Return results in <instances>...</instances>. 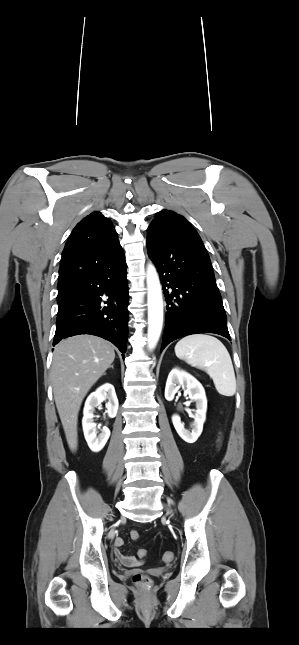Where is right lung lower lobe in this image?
<instances>
[{"mask_svg":"<svg viewBox=\"0 0 299 645\" xmlns=\"http://www.w3.org/2000/svg\"><path fill=\"white\" fill-rule=\"evenodd\" d=\"M125 258L94 271L64 290L58 302L53 345L63 338L91 334L125 353L128 337V284ZM102 296H108L103 301ZM124 356V355H123Z\"/></svg>","mask_w":299,"mask_h":645,"instance_id":"right-lung-lower-lobe-1","label":"right lung lower lobe"}]
</instances>
